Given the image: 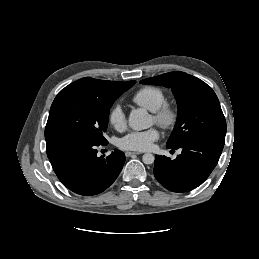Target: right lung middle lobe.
Wrapping results in <instances>:
<instances>
[{"label": "right lung middle lobe", "mask_w": 259, "mask_h": 259, "mask_svg": "<svg viewBox=\"0 0 259 259\" xmlns=\"http://www.w3.org/2000/svg\"><path fill=\"white\" fill-rule=\"evenodd\" d=\"M134 84L135 81L125 82L108 97H97L78 89H62L50 108L45 127L46 142L78 139L107 143L103 134L107 130L110 107Z\"/></svg>", "instance_id": "1"}]
</instances>
